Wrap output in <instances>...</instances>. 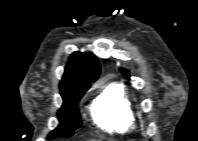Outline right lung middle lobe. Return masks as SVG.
<instances>
[{
	"label": "right lung middle lobe",
	"mask_w": 198,
	"mask_h": 141,
	"mask_svg": "<svg viewBox=\"0 0 198 141\" xmlns=\"http://www.w3.org/2000/svg\"><path fill=\"white\" fill-rule=\"evenodd\" d=\"M89 86V84H83L60 87V92L64 100L62 107L58 111L60 124L48 135V139H53L57 136H72L74 130L81 126L77 104Z\"/></svg>",
	"instance_id": "right-lung-middle-lobe-1"
}]
</instances>
